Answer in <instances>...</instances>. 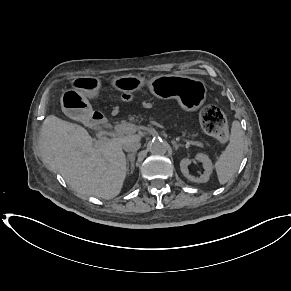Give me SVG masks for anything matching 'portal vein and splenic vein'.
<instances>
[{"label":"portal vein and splenic vein","mask_w":291,"mask_h":291,"mask_svg":"<svg viewBox=\"0 0 291 291\" xmlns=\"http://www.w3.org/2000/svg\"><path fill=\"white\" fill-rule=\"evenodd\" d=\"M151 123L157 127L163 128V126L156 121H152ZM114 130L119 134H131V133L136 132L137 126L135 124H132V123L118 124V125L114 126ZM103 139H105V138H103ZM186 143L191 144V145H195V146H200V147L203 146V144L201 142H198V141L186 140Z\"/></svg>","instance_id":"obj_1"}]
</instances>
